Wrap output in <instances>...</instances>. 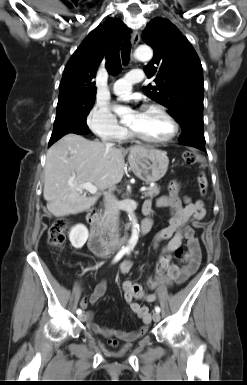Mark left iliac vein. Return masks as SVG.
Returning a JSON list of instances; mask_svg holds the SVG:
<instances>
[{
  "instance_id": "1",
  "label": "left iliac vein",
  "mask_w": 247,
  "mask_h": 385,
  "mask_svg": "<svg viewBox=\"0 0 247 385\" xmlns=\"http://www.w3.org/2000/svg\"><path fill=\"white\" fill-rule=\"evenodd\" d=\"M154 322L160 321V314L158 312H155L152 316Z\"/></svg>"
}]
</instances>
